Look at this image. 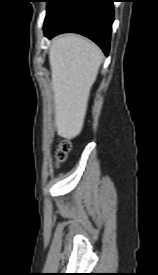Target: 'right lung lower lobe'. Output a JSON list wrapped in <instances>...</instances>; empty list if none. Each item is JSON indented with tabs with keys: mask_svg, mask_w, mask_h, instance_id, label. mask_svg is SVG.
Listing matches in <instances>:
<instances>
[{
	"mask_svg": "<svg viewBox=\"0 0 158 275\" xmlns=\"http://www.w3.org/2000/svg\"><path fill=\"white\" fill-rule=\"evenodd\" d=\"M113 2V0H59L46 14L44 34L52 38L65 32L79 33L93 40L105 54H108L114 20Z\"/></svg>",
	"mask_w": 158,
	"mask_h": 275,
	"instance_id": "right-lung-lower-lobe-1",
	"label": "right lung lower lobe"
}]
</instances>
